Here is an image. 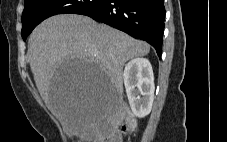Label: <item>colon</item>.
Here are the masks:
<instances>
[{"label": "colon", "mask_w": 227, "mask_h": 142, "mask_svg": "<svg viewBox=\"0 0 227 142\" xmlns=\"http://www.w3.org/2000/svg\"><path fill=\"white\" fill-rule=\"evenodd\" d=\"M124 119L120 127V120ZM136 129V121L130 116L119 113L117 117L103 128L98 142H122L124 135L130 134Z\"/></svg>", "instance_id": "1"}]
</instances>
